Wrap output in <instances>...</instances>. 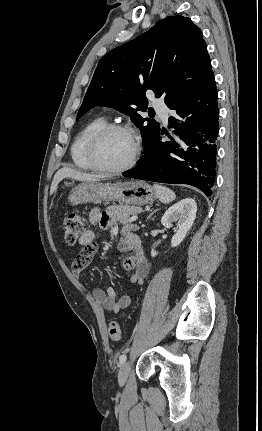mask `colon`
Returning a JSON list of instances; mask_svg holds the SVG:
<instances>
[{"instance_id":"colon-1","label":"colon","mask_w":262,"mask_h":431,"mask_svg":"<svg viewBox=\"0 0 262 431\" xmlns=\"http://www.w3.org/2000/svg\"><path fill=\"white\" fill-rule=\"evenodd\" d=\"M86 227L87 220L83 216L74 213L70 214L65 219L63 225L64 242L67 245L76 244L79 238L85 233ZM107 331L111 340L118 341L120 339L121 331L117 322H110L107 325Z\"/></svg>"}]
</instances>
